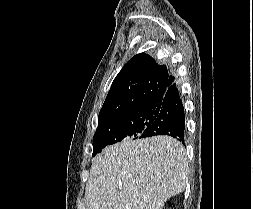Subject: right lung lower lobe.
<instances>
[{
	"instance_id": "right-lung-lower-lobe-1",
	"label": "right lung lower lobe",
	"mask_w": 253,
	"mask_h": 209,
	"mask_svg": "<svg viewBox=\"0 0 253 209\" xmlns=\"http://www.w3.org/2000/svg\"><path fill=\"white\" fill-rule=\"evenodd\" d=\"M153 107L157 111L154 122L139 138L168 135L185 142V112L179 90L173 83Z\"/></svg>"
}]
</instances>
